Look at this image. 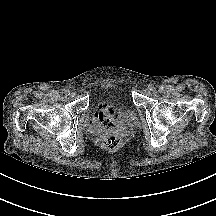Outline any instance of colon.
Segmentation results:
<instances>
[{
    "label": "colon",
    "mask_w": 216,
    "mask_h": 216,
    "mask_svg": "<svg viewBox=\"0 0 216 216\" xmlns=\"http://www.w3.org/2000/svg\"><path fill=\"white\" fill-rule=\"evenodd\" d=\"M122 144V136L116 133L109 134L103 139V146L110 151L117 150L122 146Z\"/></svg>",
    "instance_id": "obj_1"
}]
</instances>
